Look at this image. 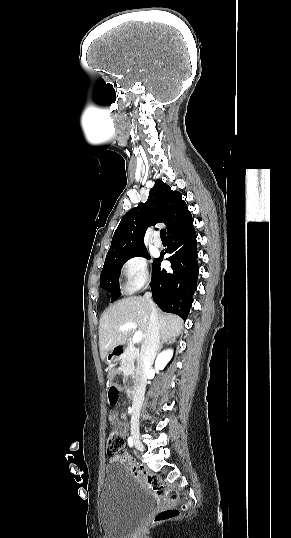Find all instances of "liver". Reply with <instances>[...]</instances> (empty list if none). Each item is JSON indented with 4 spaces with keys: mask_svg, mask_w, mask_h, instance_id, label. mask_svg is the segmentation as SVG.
<instances>
[{
    "mask_svg": "<svg viewBox=\"0 0 291 538\" xmlns=\"http://www.w3.org/2000/svg\"><path fill=\"white\" fill-rule=\"evenodd\" d=\"M162 340L175 339L182 333L183 320L173 314H166L157 308ZM150 306L145 297L132 296L124 298L109 306L102 314L99 322L100 356L104 360L107 353L119 345L125 344L133 329L121 331L119 327L127 322L137 325L145 341L148 331Z\"/></svg>",
    "mask_w": 291,
    "mask_h": 538,
    "instance_id": "1",
    "label": "liver"
}]
</instances>
